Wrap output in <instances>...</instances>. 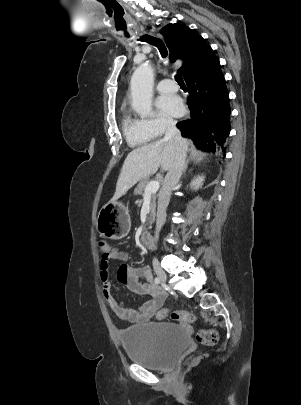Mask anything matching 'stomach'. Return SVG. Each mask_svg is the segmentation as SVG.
Returning <instances> with one entry per match:
<instances>
[{"instance_id":"0dacf381","label":"stomach","mask_w":301,"mask_h":405,"mask_svg":"<svg viewBox=\"0 0 301 405\" xmlns=\"http://www.w3.org/2000/svg\"><path fill=\"white\" fill-rule=\"evenodd\" d=\"M96 226L103 237L114 240L122 239L130 231L129 212L121 203L109 202L100 209Z\"/></svg>"}]
</instances>
